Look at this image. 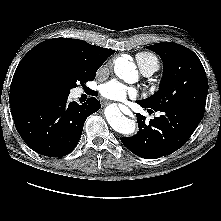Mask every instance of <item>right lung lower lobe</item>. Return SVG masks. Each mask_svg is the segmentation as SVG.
Masks as SVG:
<instances>
[{"instance_id":"obj_1","label":"right lung lower lobe","mask_w":221,"mask_h":221,"mask_svg":"<svg viewBox=\"0 0 221 221\" xmlns=\"http://www.w3.org/2000/svg\"><path fill=\"white\" fill-rule=\"evenodd\" d=\"M67 97L19 96L10 104L15 126L35 152L62 157L75 148L86 118L101 107L96 98L82 105L67 102Z\"/></svg>"}]
</instances>
